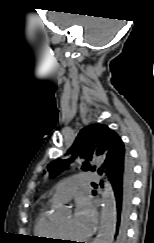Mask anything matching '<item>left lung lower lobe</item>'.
<instances>
[{"mask_svg":"<svg viewBox=\"0 0 154 243\" xmlns=\"http://www.w3.org/2000/svg\"><path fill=\"white\" fill-rule=\"evenodd\" d=\"M103 168L106 169L108 179L112 185L116 208L115 243H125L126 233L132 206L133 196V166L126 151L121 154L107 157ZM101 174V170H99ZM96 195V192L94 193Z\"/></svg>","mask_w":154,"mask_h":243,"instance_id":"obj_1","label":"left lung lower lobe"}]
</instances>
